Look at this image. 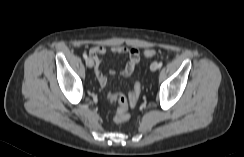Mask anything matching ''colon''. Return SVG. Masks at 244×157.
Wrapping results in <instances>:
<instances>
[{
    "label": "colon",
    "instance_id": "colon-1",
    "mask_svg": "<svg viewBox=\"0 0 244 157\" xmlns=\"http://www.w3.org/2000/svg\"><path fill=\"white\" fill-rule=\"evenodd\" d=\"M155 55L156 51L154 49H147L144 51V56L146 58H152ZM140 92V84L135 83L127 97L124 95H116L111 93L108 94V99L110 102L115 104L117 107L116 115L114 118L116 123H124L129 119V108H132L136 105Z\"/></svg>",
    "mask_w": 244,
    "mask_h": 157
}]
</instances>
